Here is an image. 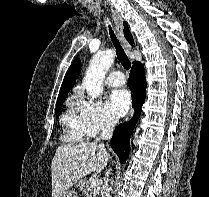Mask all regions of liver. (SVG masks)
<instances>
[{"instance_id":"1","label":"liver","mask_w":209,"mask_h":197,"mask_svg":"<svg viewBox=\"0 0 209 197\" xmlns=\"http://www.w3.org/2000/svg\"><path fill=\"white\" fill-rule=\"evenodd\" d=\"M109 158L105 146L97 141L59 146L51 163L52 197H60L91 172L103 170Z\"/></svg>"}]
</instances>
